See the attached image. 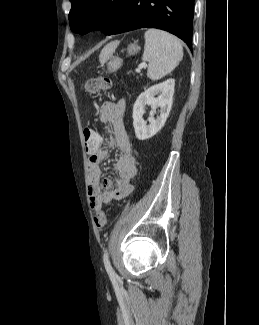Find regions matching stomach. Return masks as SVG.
<instances>
[{
	"label": "stomach",
	"instance_id": "obj_1",
	"mask_svg": "<svg viewBox=\"0 0 259 325\" xmlns=\"http://www.w3.org/2000/svg\"><path fill=\"white\" fill-rule=\"evenodd\" d=\"M140 50V47L136 43H132L128 46V55H134ZM122 66V60L118 57H113L108 63V71L115 72Z\"/></svg>",
	"mask_w": 259,
	"mask_h": 325
}]
</instances>
